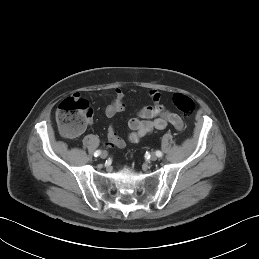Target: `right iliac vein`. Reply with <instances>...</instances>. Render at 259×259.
<instances>
[{
	"mask_svg": "<svg viewBox=\"0 0 259 259\" xmlns=\"http://www.w3.org/2000/svg\"><path fill=\"white\" fill-rule=\"evenodd\" d=\"M107 156H108V153H107L106 151H102V152L100 153V157H101L102 159L107 158Z\"/></svg>",
	"mask_w": 259,
	"mask_h": 259,
	"instance_id": "63e3f726",
	"label": "right iliac vein"
}]
</instances>
